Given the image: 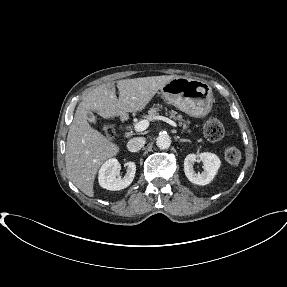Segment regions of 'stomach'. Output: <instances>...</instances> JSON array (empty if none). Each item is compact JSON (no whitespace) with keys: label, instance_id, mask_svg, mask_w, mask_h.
<instances>
[{"label":"stomach","instance_id":"obj_1","mask_svg":"<svg viewBox=\"0 0 287 287\" xmlns=\"http://www.w3.org/2000/svg\"><path fill=\"white\" fill-rule=\"evenodd\" d=\"M161 97L181 111L194 116H206L214 102L211 87L201 80L177 77L160 89Z\"/></svg>","mask_w":287,"mask_h":287}]
</instances>
